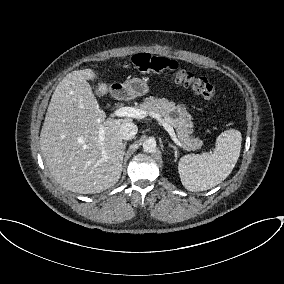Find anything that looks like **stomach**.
Here are the masks:
<instances>
[{
    "label": "stomach",
    "instance_id": "0dacf381",
    "mask_svg": "<svg viewBox=\"0 0 284 284\" xmlns=\"http://www.w3.org/2000/svg\"><path fill=\"white\" fill-rule=\"evenodd\" d=\"M113 88L122 89L130 98L146 95L149 92L147 82L140 78H131L126 80L123 84L114 85Z\"/></svg>",
    "mask_w": 284,
    "mask_h": 284
}]
</instances>
